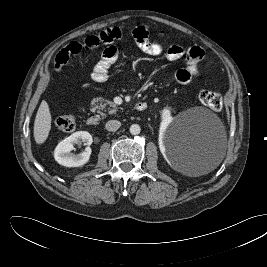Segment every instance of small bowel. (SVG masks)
Here are the masks:
<instances>
[{"label": "small bowel", "mask_w": 267, "mask_h": 267, "mask_svg": "<svg viewBox=\"0 0 267 267\" xmlns=\"http://www.w3.org/2000/svg\"><path fill=\"white\" fill-rule=\"evenodd\" d=\"M122 36L123 31L120 28L111 27L97 35L88 36L82 42H71L56 55L55 67L60 70L72 56L78 55L83 50H95L104 44L106 47L91 74L94 81L104 82L108 78L111 66L119 57V51L113 43ZM133 37L138 48L144 53L155 56L162 52V47L159 44L149 41L148 30L145 26L134 29ZM203 55V50L196 46L186 49L180 45H174L168 49L166 57L169 61H177L182 58L185 60V67L178 69L175 73V80L178 84L187 85L198 75V63Z\"/></svg>", "instance_id": "obj_1"}]
</instances>
